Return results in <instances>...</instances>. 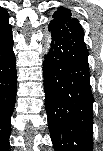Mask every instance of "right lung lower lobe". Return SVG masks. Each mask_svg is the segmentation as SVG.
Here are the masks:
<instances>
[{
    "label": "right lung lower lobe",
    "instance_id": "98d812e1",
    "mask_svg": "<svg viewBox=\"0 0 103 151\" xmlns=\"http://www.w3.org/2000/svg\"><path fill=\"white\" fill-rule=\"evenodd\" d=\"M16 58L13 52L11 26L0 29V134L7 141L10 133V117L16 97Z\"/></svg>",
    "mask_w": 103,
    "mask_h": 151
}]
</instances>
